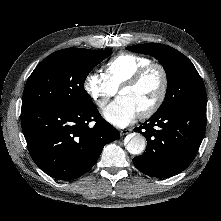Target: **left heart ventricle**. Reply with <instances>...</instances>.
Wrapping results in <instances>:
<instances>
[{"label": "left heart ventricle", "mask_w": 221, "mask_h": 221, "mask_svg": "<svg viewBox=\"0 0 221 221\" xmlns=\"http://www.w3.org/2000/svg\"><path fill=\"white\" fill-rule=\"evenodd\" d=\"M161 86L162 75L158 69H153L137 85L122 90L120 95L128 98L139 113L154 103Z\"/></svg>", "instance_id": "left-heart-ventricle-1"}]
</instances>
